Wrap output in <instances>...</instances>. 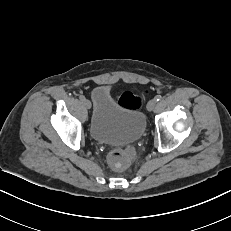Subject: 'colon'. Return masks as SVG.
Wrapping results in <instances>:
<instances>
[{
  "instance_id": "obj_1",
  "label": "colon",
  "mask_w": 231,
  "mask_h": 231,
  "mask_svg": "<svg viewBox=\"0 0 231 231\" xmlns=\"http://www.w3.org/2000/svg\"><path fill=\"white\" fill-rule=\"evenodd\" d=\"M117 101L130 108H138L142 102V96L130 91H124L116 97ZM132 158V151L128 149H116L109 153L108 163L115 170H124L128 167Z\"/></svg>"
}]
</instances>
